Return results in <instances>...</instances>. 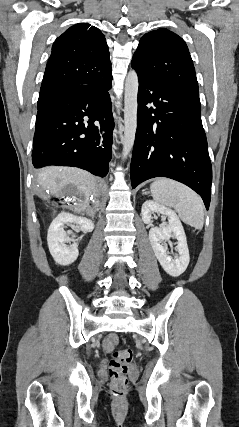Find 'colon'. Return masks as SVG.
<instances>
[{"label":"colon","mask_w":239,"mask_h":427,"mask_svg":"<svg viewBox=\"0 0 239 427\" xmlns=\"http://www.w3.org/2000/svg\"><path fill=\"white\" fill-rule=\"evenodd\" d=\"M133 359L131 349H123L113 352L109 363V375L111 385L116 396L121 397L125 394L128 385L127 375Z\"/></svg>","instance_id":"obj_1"}]
</instances>
